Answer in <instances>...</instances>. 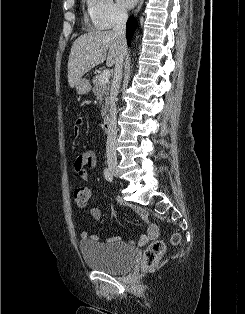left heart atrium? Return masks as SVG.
<instances>
[{
	"mask_svg": "<svg viewBox=\"0 0 245 314\" xmlns=\"http://www.w3.org/2000/svg\"><path fill=\"white\" fill-rule=\"evenodd\" d=\"M118 1L123 7L126 8H131L137 2V0H118Z\"/></svg>",
	"mask_w": 245,
	"mask_h": 314,
	"instance_id": "obj_1",
	"label": "left heart atrium"
}]
</instances>
